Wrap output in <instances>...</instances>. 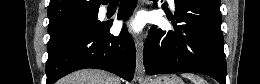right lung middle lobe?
Listing matches in <instances>:
<instances>
[{"label": "right lung middle lobe", "instance_id": "dd1d6c3e", "mask_svg": "<svg viewBox=\"0 0 260 84\" xmlns=\"http://www.w3.org/2000/svg\"><path fill=\"white\" fill-rule=\"evenodd\" d=\"M103 25L104 23L98 20V12H95L77 17L57 27L49 28L48 54H53L69 39L81 34L94 33Z\"/></svg>", "mask_w": 260, "mask_h": 84}]
</instances>
